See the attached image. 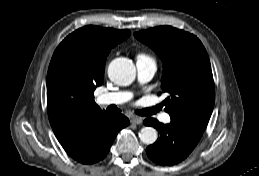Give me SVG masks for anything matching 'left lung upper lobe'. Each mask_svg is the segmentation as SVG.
Segmentation results:
<instances>
[{"instance_id":"left-lung-upper-lobe-1","label":"left lung upper lobe","mask_w":259,"mask_h":176,"mask_svg":"<svg viewBox=\"0 0 259 176\" xmlns=\"http://www.w3.org/2000/svg\"><path fill=\"white\" fill-rule=\"evenodd\" d=\"M163 59L161 88L169 93L164 103L172 120L205 130L215 102L208 54L193 34L171 26L134 33Z\"/></svg>"}]
</instances>
